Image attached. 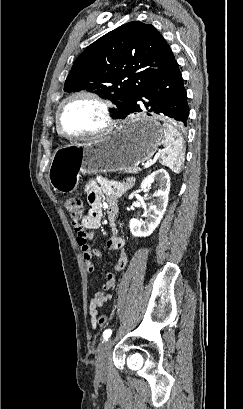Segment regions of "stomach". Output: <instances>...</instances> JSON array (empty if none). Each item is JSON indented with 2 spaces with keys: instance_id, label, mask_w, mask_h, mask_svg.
<instances>
[{
  "instance_id": "1",
  "label": "stomach",
  "mask_w": 243,
  "mask_h": 409,
  "mask_svg": "<svg viewBox=\"0 0 243 409\" xmlns=\"http://www.w3.org/2000/svg\"><path fill=\"white\" fill-rule=\"evenodd\" d=\"M163 135L156 118L128 117L101 138L58 148L48 170L49 182L58 192H71L77 188L81 174L136 168L155 154Z\"/></svg>"
}]
</instances>
